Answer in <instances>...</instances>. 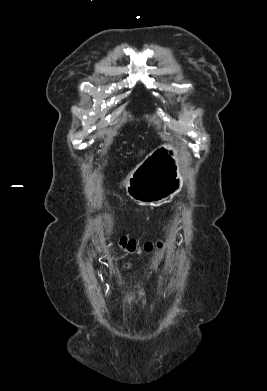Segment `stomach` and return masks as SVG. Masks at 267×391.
Returning a JSON list of instances; mask_svg holds the SVG:
<instances>
[{"label":"stomach","instance_id":"obj_1","mask_svg":"<svg viewBox=\"0 0 267 391\" xmlns=\"http://www.w3.org/2000/svg\"><path fill=\"white\" fill-rule=\"evenodd\" d=\"M187 154L175 143L154 150L126 178L127 195L135 202L161 203L178 194L184 183Z\"/></svg>","mask_w":267,"mask_h":391}]
</instances>
